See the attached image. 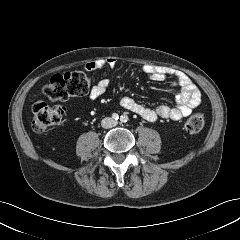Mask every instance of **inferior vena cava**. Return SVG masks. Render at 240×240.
<instances>
[{
    "instance_id": "602c4592",
    "label": "inferior vena cava",
    "mask_w": 240,
    "mask_h": 240,
    "mask_svg": "<svg viewBox=\"0 0 240 240\" xmlns=\"http://www.w3.org/2000/svg\"><path fill=\"white\" fill-rule=\"evenodd\" d=\"M116 125V122L110 118V117H105L102 121H101V126L103 128H112Z\"/></svg>"
}]
</instances>
